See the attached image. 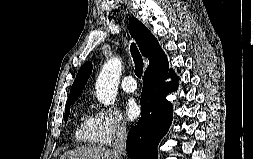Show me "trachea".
I'll list each match as a JSON object with an SVG mask.
<instances>
[{"instance_id": "trachea-1", "label": "trachea", "mask_w": 253, "mask_h": 159, "mask_svg": "<svg viewBox=\"0 0 253 159\" xmlns=\"http://www.w3.org/2000/svg\"><path fill=\"white\" fill-rule=\"evenodd\" d=\"M131 55L135 64V74L138 78H141L143 73V59L142 56L134 43L130 47Z\"/></svg>"}]
</instances>
